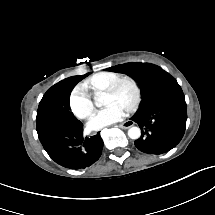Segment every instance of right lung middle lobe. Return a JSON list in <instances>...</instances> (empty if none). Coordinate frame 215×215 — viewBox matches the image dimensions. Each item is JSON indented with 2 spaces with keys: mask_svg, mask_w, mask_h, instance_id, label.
Here are the masks:
<instances>
[{
  "mask_svg": "<svg viewBox=\"0 0 215 215\" xmlns=\"http://www.w3.org/2000/svg\"><path fill=\"white\" fill-rule=\"evenodd\" d=\"M88 75L89 73L64 79L44 94L37 110V129L49 125L81 124L70 111L69 97L74 86Z\"/></svg>",
  "mask_w": 215,
  "mask_h": 215,
  "instance_id": "obj_1",
  "label": "right lung middle lobe"
}]
</instances>
